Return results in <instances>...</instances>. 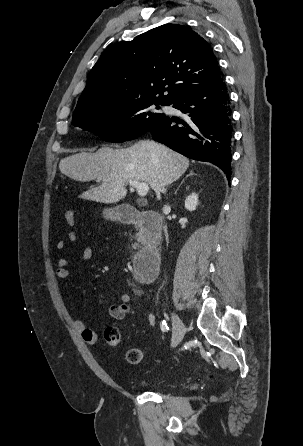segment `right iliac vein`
<instances>
[{"label": "right iliac vein", "instance_id": "1", "mask_svg": "<svg viewBox=\"0 0 303 446\" xmlns=\"http://www.w3.org/2000/svg\"><path fill=\"white\" fill-rule=\"evenodd\" d=\"M172 324H173V338H172V347H176L183 339L185 334V325L182 319L176 314V312L172 311Z\"/></svg>", "mask_w": 303, "mask_h": 446}]
</instances>
